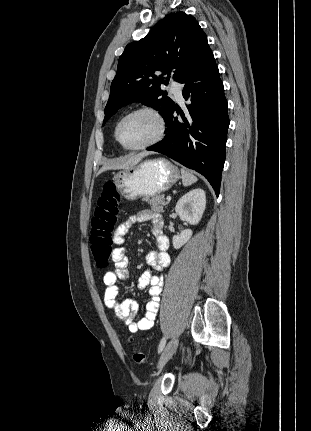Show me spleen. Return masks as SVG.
<instances>
[{
    "label": "spleen",
    "instance_id": "spleen-1",
    "mask_svg": "<svg viewBox=\"0 0 311 431\" xmlns=\"http://www.w3.org/2000/svg\"><path fill=\"white\" fill-rule=\"evenodd\" d=\"M180 172L183 186H192V184L197 182L196 176H193V174H190V172H187V170H184V168H181Z\"/></svg>",
    "mask_w": 311,
    "mask_h": 431
}]
</instances>
